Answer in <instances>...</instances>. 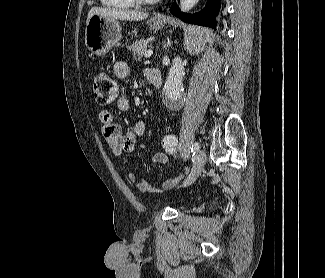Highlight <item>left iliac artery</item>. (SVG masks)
Here are the masks:
<instances>
[{
  "mask_svg": "<svg viewBox=\"0 0 325 278\" xmlns=\"http://www.w3.org/2000/svg\"><path fill=\"white\" fill-rule=\"evenodd\" d=\"M199 148H200L199 144L197 142H195L191 147L192 154L195 155L198 152Z\"/></svg>",
  "mask_w": 325,
  "mask_h": 278,
  "instance_id": "left-iliac-artery-1",
  "label": "left iliac artery"
}]
</instances>
